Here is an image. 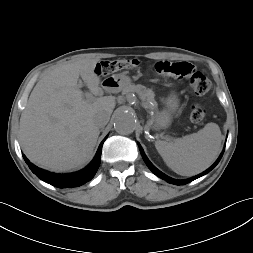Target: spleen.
<instances>
[{"instance_id":"3e777b00","label":"spleen","mask_w":253,"mask_h":253,"mask_svg":"<svg viewBox=\"0 0 253 253\" xmlns=\"http://www.w3.org/2000/svg\"><path fill=\"white\" fill-rule=\"evenodd\" d=\"M222 135L216 123H207L197 133L174 141H155L166 165L182 176H193L207 169L221 150Z\"/></svg>"}]
</instances>
